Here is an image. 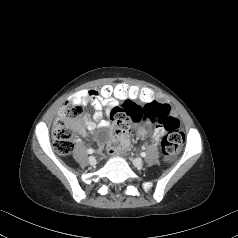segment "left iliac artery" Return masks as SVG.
Segmentation results:
<instances>
[{
    "instance_id": "left-iliac-artery-1",
    "label": "left iliac artery",
    "mask_w": 238,
    "mask_h": 238,
    "mask_svg": "<svg viewBox=\"0 0 238 238\" xmlns=\"http://www.w3.org/2000/svg\"><path fill=\"white\" fill-rule=\"evenodd\" d=\"M141 156H142V157H146V153H145V152H142V153H141Z\"/></svg>"
}]
</instances>
